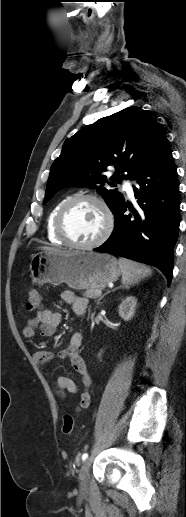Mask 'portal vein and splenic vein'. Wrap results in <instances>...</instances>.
Returning <instances> with one entry per match:
<instances>
[{
	"mask_svg": "<svg viewBox=\"0 0 186 517\" xmlns=\"http://www.w3.org/2000/svg\"><path fill=\"white\" fill-rule=\"evenodd\" d=\"M98 296H100L102 294V291L101 290H98L97 293H96Z\"/></svg>",
	"mask_w": 186,
	"mask_h": 517,
	"instance_id": "portal-vein-and-splenic-vein-1",
	"label": "portal vein and splenic vein"
}]
</instances>
